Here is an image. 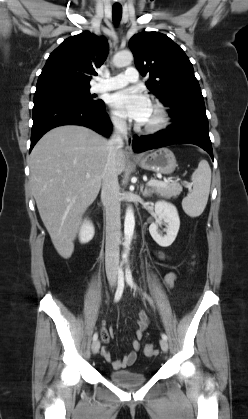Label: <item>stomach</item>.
Here are the masks:
<instances>
[{"label":"stomach","instance_id":"stomach-1","mask_svg":"<svg viewBox=\"0 0 248 419\" xmlns=\"http://www.w3.org/2000/svg\"><path fill=\"white\" fill-rule=\"evenodd\" d=\"M136 162L142 169L161 174H171L177 166L176 158L168 148L157 149Z\"/></svg>","mask_w":248,"mask_h":419}]
</instances>
